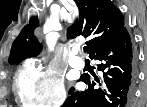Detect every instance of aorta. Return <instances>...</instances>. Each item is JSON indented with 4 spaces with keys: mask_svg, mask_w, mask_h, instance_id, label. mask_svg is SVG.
<instances>
[{
    "mask_svg": "<svg viewBox=\"0 0 147 107\" xmlns=\"http://www.w3.org/2000/svg\"><path fill=\"white\" fill-rule=\"evenodd\" d=\"M57 38V34L53 33V34H50L49 37H48V45H49V48L50 49H53V46H54V42Z\"/></svg>",
    "mask_w": 147,
    "mask_h": 107,
    "instance_id": "1",
    "label": "aorta"
}]
</instances>
